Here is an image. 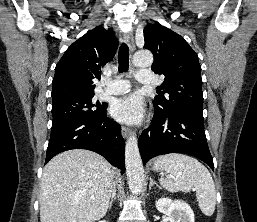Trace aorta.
Wrapping results in <instances>:
<instances>
[{"label":"aorta","mask_w":257,"mask_h":222,"mask_svg":"<svg viewBox=\"0 0 257 222\" xmlns=\"http://www.w3.org/2000/svg\"><path fill=\"white\" fill-rule=\"evenodd\" d=\"M153 63V55L148 50H140L134 54L133 64L137 67H149ZM125 164L129 189L133 194L142 190L144 171L138 148V140L133 133L127 139L125 146Z\"/></svg>","instance_id":"1"}]
</instances>
